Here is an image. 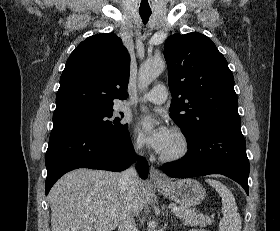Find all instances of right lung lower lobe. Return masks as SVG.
<instances>
[{
    "instance_id": "obj_1",
    "label": "right lung lower lobe",
    "mask_w": 280,
    "mask_h": 231,
    "mask_svg": "<svg viewBox=\"0 0 280 231\" xmlns=\"http://www.w3.org/2000/svg\"><path fill=\"white\" fill-rule=\"evenodd\" d=\"M136 159L128 130L118 135H102L78 128L53 129L45 163L46 195L65 173L77 168L122 171ZM137 170L148 176V163L137 158Z\"/></svg>"
}]
</instances>
